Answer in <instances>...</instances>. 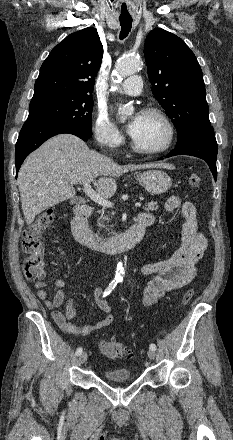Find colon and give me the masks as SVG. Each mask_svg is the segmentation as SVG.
Instances as JSON below:
<instances>
[{
  "instance_id": "obj_1",
  "label": "colon",
  "mask_w": 233,
  "mask_h": 440,
  "mask_svg": "<svg viewBox=\"0 0 233 440\" xmlns=\"http://www.w3.org/2000/svg\"><path fill=\"white\" fill-rule=\"evenodd\" d=\"M189 185L198 187L201 179L197 174L190 175ZM55 220V213L52 209L43 211L35 222L31 224L22 236V251L24 253L23 272L27 279H42L44 273L45 245L42 240L44 232ZM194 296V290H187L182 298L181 305H186ZM97 345L101 353L111 359H130L133 352L122 343L115 340L98 339Z\"/></svg>"
}]
</instances>
